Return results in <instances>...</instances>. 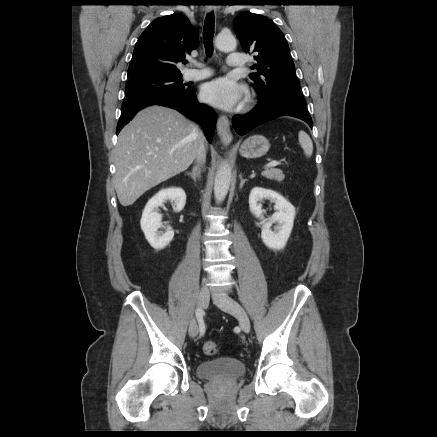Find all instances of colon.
Wrapping results in <instances>:
<instances>
[{"label": "colon", "instance_id": "5ec220e1", "mask_svg": "<svg viewBox=\"0 0 437 437\" xmlns=\"http://www.w3.org/2000/svg\"><path fill=\"white\" fill-rule=\"evenodd\" d=\"M203 352L208 356H214L218 353V346L214 341L207 340L203 344Z\"/></svg>", "mask_w": 437, "mask_h": 437}]
</instances>
